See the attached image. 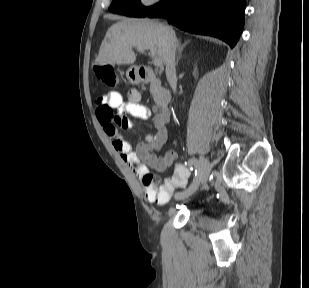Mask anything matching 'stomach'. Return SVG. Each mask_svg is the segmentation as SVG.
I'll use <instances>...</instances> for the list:
<instances>
[{"label": "stomach", "mask_w": 309, "mask_h": 288, "mask_svg": "<svg viewBox=\"0 0 309 288\" xmlns=\"http://www.w3.org/2000/svg\"><path fill=\"white\" fill-rule=\"evenodd\" d=\"M126 77L129 80L130 83L136 84L141 81V77L138 72V68L135 66H131L127 71H126Z\"/></svg>", "instance_id": "0dacf381"}]
</instances>
